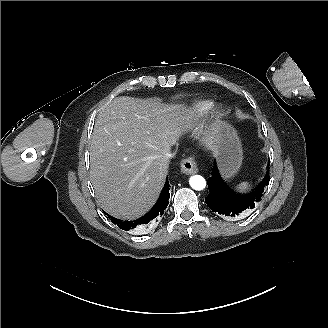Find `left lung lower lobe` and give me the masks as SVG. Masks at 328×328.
<instances>
[{"label": "left lung lower lobe", "mask_w": 328, "mask_h": 328, "mask_svg": "<svg viewBox=\"0 0 328 328\" xmlns=\"http://www.w3.org/2000/svg\"><path fill=\"white\" fill-rule=\"evenodd\" d=\"M263 181L247 194L237 193L221 178L214 162L212 176L208 179L209 195L205 198L208 207L223 217L235 218L248 214L260 201L264 187L269 184V166Z\"/></svg>", "instance_id": "left-lung-lower-lobe-1"}]
</instances>
